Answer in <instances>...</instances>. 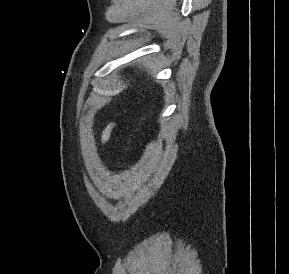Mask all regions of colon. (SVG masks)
<instances>
[{
    "instance_id": "colon-1",
    "label": "colon",
    "mask_w": 289,
    "mask_h": 274,
    "mask_svg": "<svg viewBox=\"0 0 289 274\" xmlns=\"http://www.w3.org/2000/svg\"><path fill=\"white\" fill-rule=\"evenodd\" d=\"M145 120H146V115L141 118L140 125H142Z\"/></svg>"
}]
</instances>
